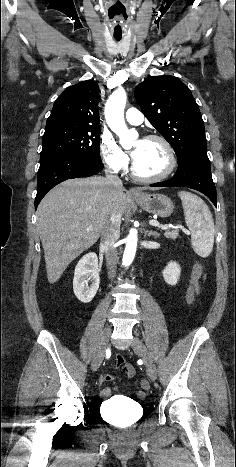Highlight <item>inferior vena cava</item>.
Wrapping results in <instances>:
<instances>
[{"instance_id": "obj_1", "label": "inferior vena cava", "mask_w": 236, "mask_h": 467, "mask_svg": "<svg viewBox=\"0 0 236 467\" xmlns=\"http://www.w3.org/2000/svg\"><path fill=\"white\" fill-rule=\"evenodd\" d=\"M106 181L116 188L123 187L121 179L110 169H105ZM120 237V218L113 212L110 218L105 222L101 232V246L105 250V258L108 269V275L113 278L116 273L118 254L115 244Z\"/></svg>"}]
</instances>
